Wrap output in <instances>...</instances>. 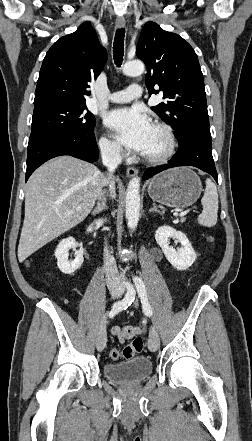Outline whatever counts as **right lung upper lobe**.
<instances>
[{"mask_svg": "<svg viewBox=\"0 0 252 441\" xmlns=\"http://www.w3.org/2000/svg\"><path fill=\"white\" fill-rule=\"evenodd\" d=\"M107 60L89 22L61 37L48 50L39 73L34 105L50 101L85 103L89 83L96 79Z\"/></svg>", "mask_w": 252, "mask_h": 441, "instance_id": "cb5924a9", "label": "right lung upper lobe"}]
</instances>
